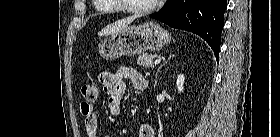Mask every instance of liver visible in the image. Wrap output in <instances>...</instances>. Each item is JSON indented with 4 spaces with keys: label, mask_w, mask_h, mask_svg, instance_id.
Returning a JSON list of instances; mask_svg holds the SVG:
<instances>
[{
    "label": "liver",
    "mask_w": 280,
    "mask_h": 137,
    "mask_svg": "<svg viewBox=\"0 0 280 137\" xmlns=\"http://www.w3.org/2000/svg\"><path fill=\"white\" fill-rule=\"evenodd\" d=\"M136 18H137V16L134 15V16H130L128 18L119 20V21H117L115 23L109 24L105 28H103L98 33V35L102 36V35H112V34H115V33L119 32V31H121L122 29H124L125 27H127Z\"/></svg>",
    "instance_id": "6515ba94"
}]
</instances>
